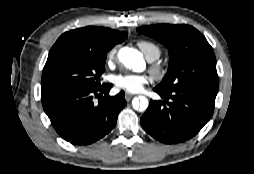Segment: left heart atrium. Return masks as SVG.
Here are the masks:
<instances>
[{
    "label": "left heart atrium",
    "instance_id": "left-heart-atrium-1",
    "mask_svg": "<svg viewBox=\"0 0 254 174\" xmlns=\"http://www.w3.org/2000/svg\"><path fill=\"white\" fill-rule=\"evenodd\" d=\"M149 77L143 74L123 73L114 77V84L118 89L129 93L140 92L149 83Z\"/></svg>",
    "mask_w": 254,
    "mask_h": 174
}]
</instances>
